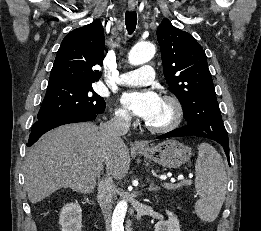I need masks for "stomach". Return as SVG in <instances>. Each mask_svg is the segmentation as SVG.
Wrapping results in <instances>:
<instances>
[{"mask_svg":"<svg viewBox=\"0 0 261 231\" xmlns=\"http://www.w3.org/2000/svg\"><path fill=\"white\" fill-rule=\"evenodd\" d=\"M137 152L166 168L180 167L191 157V148L177 140H166L158 145L139 149Z\"/></svg>","mask_w":261,"mask_h":231,"instance_id":"1","label":"stomach"}]
</instances>
